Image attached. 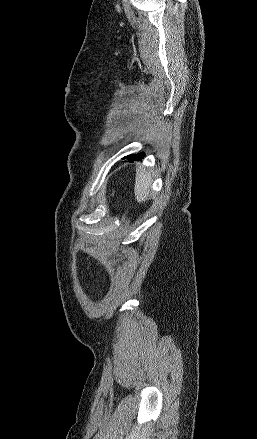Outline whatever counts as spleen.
<instances>
[{"label":"spleen","mask_w":257,"mask_h":439,"mask_svg":"<svg viewBox=\"0 0 257 439\" xmlns=\"http://www.w3.org/2000/svg\"><path fill=\"white\" fill-rule=\"evenodd\" d=\"M134 193L136 200L140 203L147 200L152 184L151 172L145 169H138L135 178Z\"/></svg>","instance_id":"1"}]
</instances>
